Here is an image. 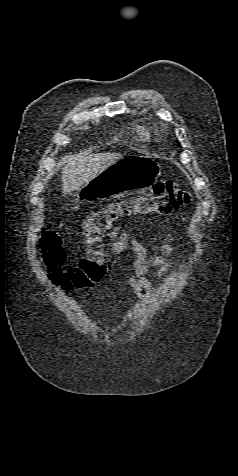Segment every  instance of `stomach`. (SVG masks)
<instances>
[{"mask_svg":"<svg viewBox=\"0 0 238 476\" xmlns=\"http://www.w3.org/2000/svg\"><path fill=\"white\" fill-rule=\"evenodd\" d=\"M157 161L149 156H126L99 173L73 194L76 201L127 195L129 190H147L158 179Z\"/></svg>","mask_w":238,"mask_h":476,"instance_id":"0dacf381","label":"stomach"}]
</instances>
